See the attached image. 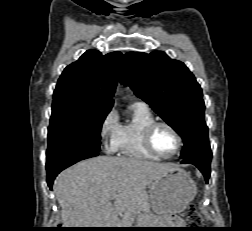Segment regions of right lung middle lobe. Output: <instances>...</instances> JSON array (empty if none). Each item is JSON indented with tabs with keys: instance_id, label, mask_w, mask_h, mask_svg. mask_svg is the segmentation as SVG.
I'll return each mask as SVG.
<instances>
[{
	"instance_id": "obj_1",
	"label": "right lung middle lobe",
	"mask_w": 252,
	"mask_h": 231,
	"mask_svg": "<svg viewBox=\"0 0 252 231\" xmlns=\"http://www.w3.org/2000/svg\"><path fill=\"white\" fill-rule=\"evenodd\" d=\"M109 112L110 109L105 108L53 103L47 159L70 151H100V132Z\"/></svg>"
}]
</instances>
